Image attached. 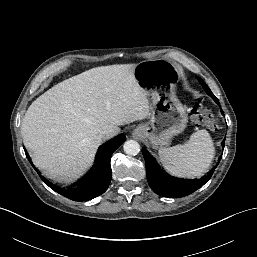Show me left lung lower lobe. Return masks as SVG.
Segmentation results:
<instances>
[{"label": "left lung lower lobe", "instance_id": "left-lung-lower-lobe-1", "mask_svg": "<svg viewBox=\"0 0 257 257\" xmlns=\"http://www.w3.org/2000/svg\"><path fill=\"white\" fill-rule=\"evenodd\" d=\"M214 101L219 104L215 97ZM223 114V112H222ZM225 140L222 142L224 148ZM142 153L146 163L147 180L152 190L163 197L180 198L187 196L202 187L212 176L214 169L200 179H180L164 174L153 157L143 148ZM221 157L219 158L220 161ZM218 161V163H219Z\"/></svg>", "mask_w": 257, "mask_h": 257}]
</instances>
